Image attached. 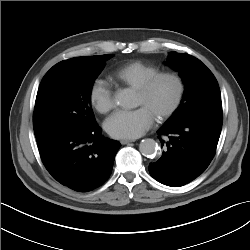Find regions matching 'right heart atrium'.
Masks as SVG:
<instances>
[{
  "label": "right heart atrium",
  "instance_id": "right-heart-atrium-1",
  "mask_svg": "<svg viewBox=\"0 0 250 250\" xmlns=\"http://www.w3.org/2000/svg\"><path fill=\"white\" fill-rule=\"evenodd\" d=\"M89 101L100 113H107L114 107L111 85L102 78H96L89 88Z\"/></svg>",
  "mask_w": 250,
  "mask_h": 250
}]
</instances>
